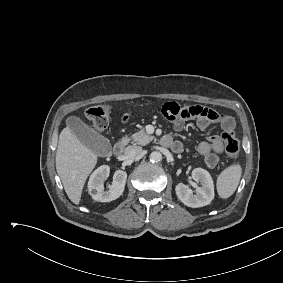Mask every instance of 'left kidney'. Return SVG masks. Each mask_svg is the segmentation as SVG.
Instances as JSON below:
<instances>
[{"label":"left kidney","mask_w":283,"mask_h":283,"mask_svg":"<svg viewBox=\"0 0 283 283\" xmlns=\"http://www.w3.org/2000/svg\"><path fill=\"white\" fill-rule=\"evenodd\" d=\"M192 178L200 183L197 187L195 194L185 184L179 183L175 187L178 199L188 207L198 208L203 207L214 199V184L209 172L203 168H195L192 171Z\"/></svg>","instance_id":"left-kidney-1"}]
</instances>
